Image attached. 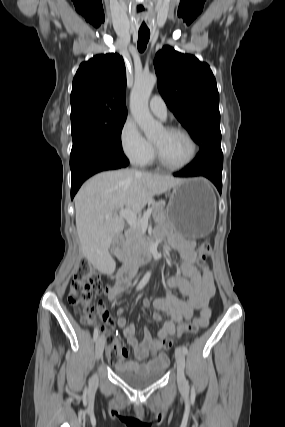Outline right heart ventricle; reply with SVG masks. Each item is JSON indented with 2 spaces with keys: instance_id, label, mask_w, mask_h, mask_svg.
I'll return each instance as SVG.
<instances>
[{
  "instance_id": "1",
  "label": "right heart ventricle",
  "mask_w": 285,
  "mask_h": 427,
  "mask_svg": "<svg viewBox=\"0 0 285 427\" xmlns=\"http://www.w3.org/2000/svg\"><path fill=\"white\" fill-rule=\"evenodd\" d=\"M153 160V155L150 157V159L146 162V163H149V162H151Z\"/></svg>"
}]
</instances>
